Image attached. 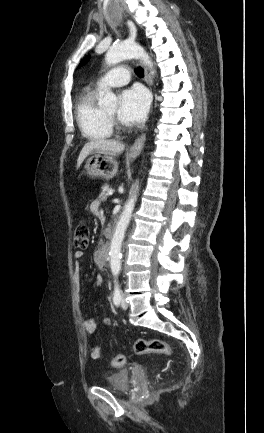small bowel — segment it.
Masks as SVG:
<instances>
[{
    "mask_svg": "<svg viewBox=\"0 0 264 433\" xmlns=\"http://www.w3.org/2000/svg\"><path fill=\"white\" fill-rule=\"evenodd\" d=\"M90 211L96 215H99V211H100V201L99 200H94L90 203ZM76 262H75V266H74V278L76 280L77 283V297L78 300H80V296H79V290H80V279H81V274H82V267L80 264V260L84 257V253L82 251H77L74 255ZM103 283V277L101 275H97L93 282H92V287H97L99 285H101ZM103 323L106 325H111L112 320L109 317H105L103 319ZM83 327L84 330L86 331V333L88 334H94L96 332L97 329V324L95 322V320L91 317H88L86 319H84L83 321ZM89 356L92 360H100L102 358V353H101V349L98 346H93L90 348L89 350Z\"/></svg>",
    "mask_w": 264,
    "mask_h": 433,
    "instance_id": "small-bowel-1",
    "label": "small bowel"
}]
</instances>
